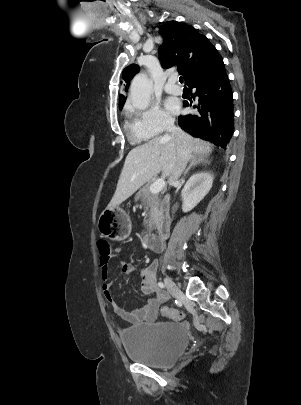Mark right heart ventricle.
Returning <instances> with one entry per match:
<instances>
[{
  "instance_id": "obj_1",
  "label": "right heart ventricle",
  "mask_w": 301,
  "mask_h": 405,
  "mask_svg": "<svg viewBox=\"0 0 301 405\" xmlns=\"http://www.w3.org/2000/svg\"><path fill=\"white\" fill-rule=\"evenodd\" d=\"M124 127L128 134V137L131 141L135 143H141L148 140L151 135L146 133L136 121L135 116L132 114L130 110L125 112V122Z\"/></svg>"
}]
</instances>
